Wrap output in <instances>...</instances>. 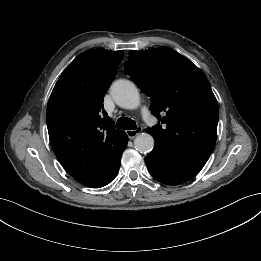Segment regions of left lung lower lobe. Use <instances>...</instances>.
Listing matches in <instances>:
<instances>
[{
  "label": "left lung lower lobe",
  "mask_w": 261,
  "mask_h": 261,
  "mask_svg": "<svg viewBox=\"0 0 261 261\" xmlns=\"http://www.w3.org/2000/svg\"><path fill=\"white\" fill-rule=\"evenodd\" d=\"M208 159V156L178 154L155 144L145 161L156 180L167 185H179L195 177Z\"/></svg>",
  "instance_id": "1"
}]
</instances>
